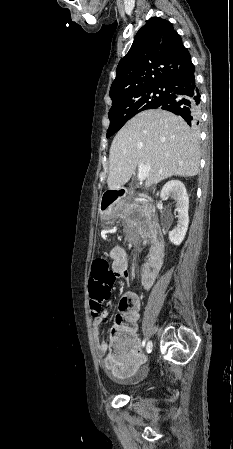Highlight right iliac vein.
I'll return each instance as SVG.
<instances>
[{
  "label": "right iliac vein",
  "instance_id": "1",
  "mask_svg": "<svg viewBox=\"0 0 233 449\" xmlns=\"http://www.w3.org/2000/svg\"><path fill=\"white\" fill-rule=\"evenodd\" d=\"M149 343H152V341H148V344H149Z\"/></svg>",
  "mask_w": 233,
  "mask_h": 449
}]
</instances>
